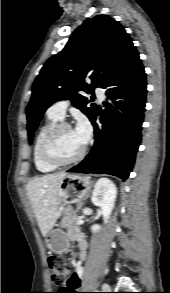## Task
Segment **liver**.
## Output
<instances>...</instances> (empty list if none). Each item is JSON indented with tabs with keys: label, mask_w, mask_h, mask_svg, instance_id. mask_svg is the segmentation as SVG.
<instances>
[{
	"label": "liver",
	"mask_w": 170,
	"mask_h": 293,
	"mask_svg": "<svg viewBox=\"0 0 170 293\" xmlns=\"http://www.w3.org/2000/svg\"><path fill=\"white\" fill-rule=\"evenodd\" d=\"M66 172L47 174L30 181L27 195L35 213L38 226L45 237L58 217V191Z\"/></svg>",
	"instance_id": "6515ba94"
}]
</instances>
